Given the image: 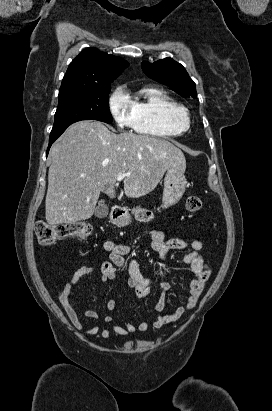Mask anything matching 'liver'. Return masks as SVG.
Returning a JSON list of instances; mask_svg holds the SVG:
<instances>
[{"label": "liver", "instance_id": "6515ba94", "mask_svg": "<svg viewBox=\"0 0 272 411\" xmlns=\"http://www.w3.org/2000/svg\"><path fill=\"white\" fill-rule=\"evenodd\" d=\"M45 200L50 225L89 219L100 193L115 197L119 174L124 192L139 198L153 191L170 167L185 172L183 152L167 140L115 134L97 121L72 124L52 145Z\"/></svg>", "mask_w": 272, "mask_h": 411}]
</instances>
